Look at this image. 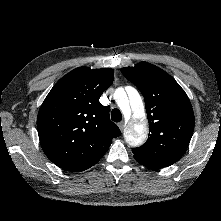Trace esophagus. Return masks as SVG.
Here are the masks:
<instances>
[{"mask_svg":"<svg viewBox=\"0 0 221 221\" xmlns=\"http://www.w3.org/2000/svg\"><path fill=\"white\" fill-rule=\"evenodd\" d=\"M118 127L120 128L121 131H123V130H124V127H125V123H124V122H120V123L118 124Z\"/></svg>","mask_w":221,"mask_h":221,"instance_id":"34e87169","label":"esophagus"}]
</instances>
